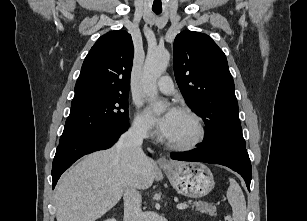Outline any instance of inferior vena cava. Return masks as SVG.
Wrapping results in <instances>:
<instances>
[{"label":"inferior vena cava","mask_w":307,"mask_h":221,"mask_svg":"<svg viewBox=\"0 0 307 221\" xmlns=\"http://www.w3.org/2000/svg\"><path fill=\"white\" fill-rule=\"evenodd\" d=\"M147 136V128L142 125H133L119 138L116 144L118 150L122 151L127 159L135 166L145 164L147 156L142 150L143 139ZM124 221H141L142 197L135 186L128 183L124 190Z\"/></svg>","instance_id":"602c4592"}]
</instances>
